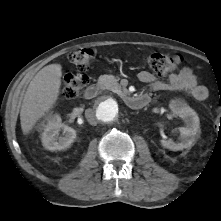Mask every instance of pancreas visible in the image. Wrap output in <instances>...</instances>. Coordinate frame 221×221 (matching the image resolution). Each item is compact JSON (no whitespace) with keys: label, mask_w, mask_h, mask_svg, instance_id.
Masks as SVG:
<instances>
[{"label":"pancreas","mask_w":221,"mask_h":221,"mask_svg":"<svg viewBox=\"0 0 221 221\" xmlns=\"http://www.w3.org/2000/svg\"><path fill=\"white\" fill-rule=\"evenodd\" d=\"M98 83L103 89H107L111 91L121 89V86L118 83V80L113 75L100 76Z\"/></svg>","instance_id":"obj_1"}]
</instances>
